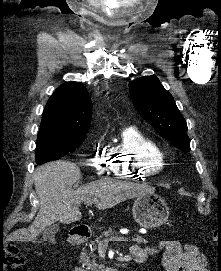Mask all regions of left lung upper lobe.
Returning <instances> with one entry per match:
<instances>
[{
  "label": "left lung upper lobe",
  "instance_id": "1",
  "mask_svg": "<svg viewBox=\"0 0 221 271\" xmlns=\"http://www.w3.org/2000/svg\"><path fill=\"white\" fill-rule=\"evenodd\" d=\"M129 90L135 108L156 131L180 150L190 151L186 121L159 79L140 77L129 83Z\"/></svg>",
  "mask_w": 221,
  "mask_h": 271
}]
</instances>
